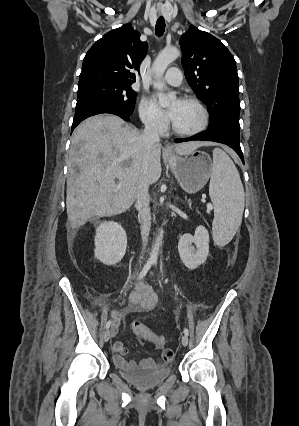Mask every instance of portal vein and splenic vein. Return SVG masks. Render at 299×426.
Wrapping results in <instances>:
<instances>
[{"mask_svg": "<svg viewBox=\"0 0 299 426\" xmlns=\"http://www.w3.org/2000/svg\"><path fill=\"white\" fill-rule=\"evenodd\" d=\"M117 189H120L121 188V184H117ZM209 208H211L212 207V205L209 203L208 205H207Z\"/></svg>", "mask_w": 299, "mask_h": 426, "instance_id": "18ae733b", "label": "portal vein and splenic vein"}]
</instances>
